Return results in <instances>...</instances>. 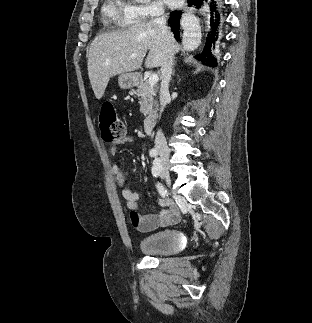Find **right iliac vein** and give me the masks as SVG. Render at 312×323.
<instances>
[{
    "instance_id": "63e3f726",
    "label": "right iliac vein",
    "mask_w": 312,
    "mask_h": 323,
    "mask_svg": "<svg viewBox=\"0 0 312 323\" xmlns=\"http://www.w3.org/2000/svg\"><path fill=\"white\" fill-rule=\"evenodd\" d=\"M160 173H161V176L165 179L166 183L168 186L171 185V179H170V174H169V170L166 166H162L160 168Z\"/></svg>"
}]
</instances>
